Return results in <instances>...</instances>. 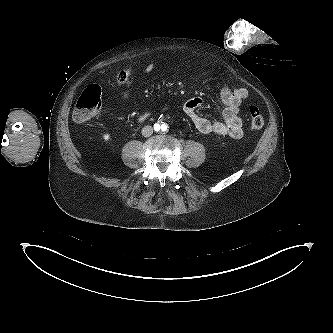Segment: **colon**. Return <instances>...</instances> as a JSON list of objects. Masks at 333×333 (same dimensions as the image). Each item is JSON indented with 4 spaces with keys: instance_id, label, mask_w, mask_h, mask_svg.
Listing matches in <instances>:
<instances>
[{
    "instance_id": "obj_1",
    "label": "colon",
    "mask_w": 333,
    "mask_h": 333,
    "mask_svg": "<svg viewBox=\"0 0 333 333\" xmlns=\"http://www.w3.org/2000/svg\"><path fill=\"white\" fill-rule=\"evenodd\" d=\"M130 71L124 69L117 75V82L124 84L128 81ZM101 109V88L96 84L88 85L80 94L73 110L75 122L84 124L93 119ZM250 129L258 132L264 126V118L256 106H250L248 110Z\"/></svg>"
}]
</instances>
